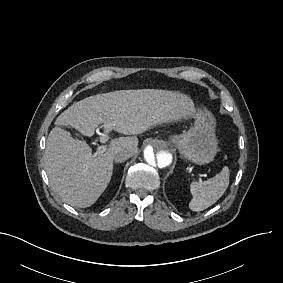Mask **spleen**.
Returning <instances> with one entry per match:
<instances>
[{
	"instance_id": "3e777b00",
	"label": "spleen",
	"mask_w": 283,
	"mask_h": 283,
	"mask_svg": "<svg viewBox=\"0 0 283 283\" xmlns=\"http://www.w3.org/2000/svg\"><path fill=\"white\" fill-rule=\"evenodd\" d=\"M229 168L224 166L220 173L204 182H192L190 191L193 196L189 203L192 211H203L213 205L229 186Z\"/></svg>"
}]
</instances>
